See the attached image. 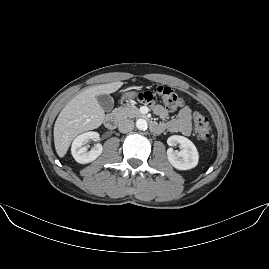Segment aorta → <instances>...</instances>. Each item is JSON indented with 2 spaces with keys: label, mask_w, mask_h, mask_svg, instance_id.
Instances as JSON below:
<instances>
[{
  "label": "aorta",
  "mask_w": 269,
  "mask_h": 269,
  "mask_svg": "<svg viewBox=\"0 0 269 269\" xmlns=\"http://www.w3.org/2000/svg\"><path fill=\"white\" fill-rule=\"evenodd\" d=\"M147 121L145 119H138L136 121V127L139 129V130H145L147 129Z\"/></svg>",
  "instance_id": "1"
}]
</instances>
